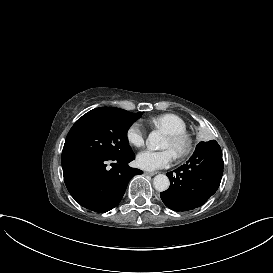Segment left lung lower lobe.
Segmentation results:
<instances>
[{"instance_id":"0a47b994","label":"left lung lower lobe","mask_w":273,"mask_h":273,"mask_svg":"<svg viewBox=\"0 0 273 273\" xmlns=\"http://www.w3.org/2000/svg\"><path fill=\"white\" fill-rule=\"evenodd\" d=\"M223 174L222 151L215 140L200 142L191 158L167 173L168 190L161 192L163 203L174 211L202 206L218 189Z\"/></svg>"}]
</instances>
